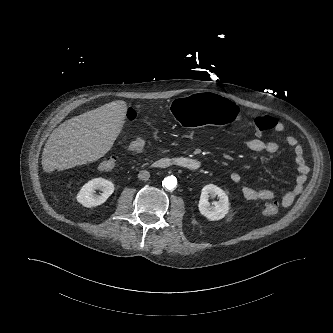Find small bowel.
I'll return each mask as SVG.
<instances>
[{"label":"small bowel","instance_id":"obj_1","mask_svg":"<svg viewBox=\"0 0 333 333\" xmlns=\"http://www.w3.org/2000/svg\"><path fill=\"white\" fill-rule=\"evenodd\" d=\"M273 130L283 136L286 144L293 150L294 153V160L298 173L295 186L287 191L281 200L283 207H289L302 190L303 184L306 180V175L308 173V167L304 160L303 147L295 136L287 132L285 125L274 119ZM236 145L255 153L273 154L279 149V143L277 141H264L258 137L240 140L236 143ZM145 146L146 141L142 137H137L128 144V150L132 153L140 154L144 150ZM229 177L231 182L235 184L242 182V176L238 172H232ZM241 193L245 199L253 203L273 200L275 198V193L269 189H254L249 186H242Z\"/></svg>","mask_w":333,"mask_h":333}]
</instances>
